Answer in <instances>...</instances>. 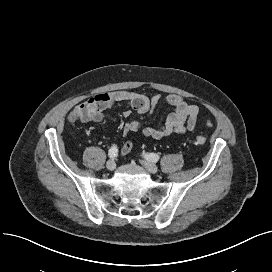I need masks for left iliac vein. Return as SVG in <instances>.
I'll list each match as a JSON object with an SVG mask.
<instances>
[{
  "label": "left iliac vein",
  "mask_w": 272,
  "mask_h": 272,
  "mask_svg": "<svg viewBox=\"0 0 272 272\" xmlns=\"http://www.w3.org/2000/svg\"><path fill=\"white\" fill-rule=\"evenodd\" d=\"M141 164H142V165L144 166V168H145L148 172H150V173L155 174V173L158 172V167H157L154 163H152V162H150V161L142 160V161H141Z\"/></svg>",
  "instance_id": "4c4485c4"
}]
</instances>
